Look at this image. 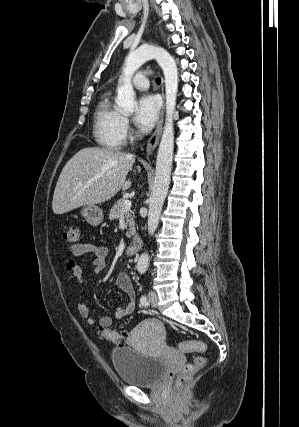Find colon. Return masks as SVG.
I'll use <instances>...</instances> for the list:
<instances>
[{
	"label": "colon",
	"instance_id": "obj_1",
	"mask_svg": "<svg viewBox=\"0 0 299 427\" xmlns=\"http://www.w3.org/2000/svg\"><path fill=\"white\" fill-rule=\"evenodd\" d=\"M63 239L65 242L71 245H78L80 242V228L78 226H71L66 229L63 233ZM98 334L101 338L106 339L116 344H123L126 339V335L123 332H119L109 328L100 327ZM179 349L182 352H200L206 351L205 343L201 341H183L179 344ZM206 358L202 355L196 356L193 363L185 364L178 372L175 387L177 390H184L191 379L196 373L205 366Z\"/></svg>",
	"mask_w": 299,
	"mask_h": 427
}]
</instances>
